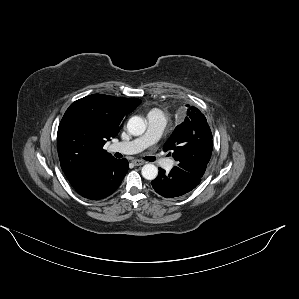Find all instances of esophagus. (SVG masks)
<instances>
[{
	"mask_svg": "<svg viewBox=\"0 0 299 299\" xmlns=\"http://www.w3.org/2000/svg\"><path fill=\"white\" fill-rule=\"evenodd\" d=\"M132 163L135 165V166H141L143 165L145 162L142 161V160H139V159H135L132 161Z\"/></svg>",
	"mask_w": 299,
	"mask_h": 299,
	"instance_id": "1",
	"label": "esophagus"
}]
</instances>
